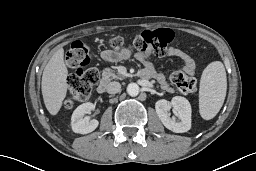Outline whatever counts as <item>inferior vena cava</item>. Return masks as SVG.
Instances as JSON below:
<instances>
[{
    "mask_svg": "<svg viewBox=\"0 0 256 171\" xmlns=\"http://www.w3.org/2000/svg\"><path fill=\"white\" fill-rule=\"evenodd\" d=\"M121 91V84L119 82H110L107 85V93L109 94H116L119 93Z\"/></svg>",
    "mask_w": 256,
    "mask_h": 171,
    "instance_id": "602c4592",
    "label": "inferior vena cava"
}]
</instances>
